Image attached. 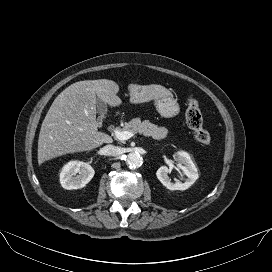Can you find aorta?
Here are the masks:
<instances>
[{
	"label": "aorta",
	"instance_id": "762f6f07",
	"mask_svg": "<svg viewBox=\"0 0 272 272\" xmlns=\"http://www.w3.org/2000/svg\"><path fill=\"white\" fill-rule=\"evenodd\" d=\"M126 163L130 168L140 167L142 164V157L139 153L131 152L126 157Z\"/></svg>",
	"mask_w": 272,
	"mask_h": 272
}]
</instances>
